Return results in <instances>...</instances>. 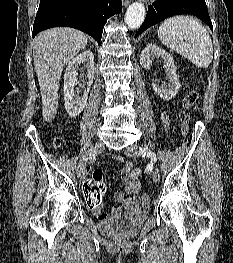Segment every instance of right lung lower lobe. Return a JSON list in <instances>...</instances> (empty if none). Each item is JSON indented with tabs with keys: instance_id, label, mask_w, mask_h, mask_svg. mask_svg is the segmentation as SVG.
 Here are the masks:
<instances>
[{
	"instance_id": "right-lung-lower-lobe-1",
	"label": "right lung lower lobe",
	"mask_w": 233,
	"mask_h": 263,
	"mask_svg": "<svg viewBox=\"0 0 233 263\" xmlns=\"http://www.w3.org/2000/svg\"><path fill=\"white\" fill-rule=\"evenodd\" d=\"M121 11V0H44L40 2L32 35L48 28L67 26L91 35L101 45L107 19Z\"/></svg>"
}]
</instances>
